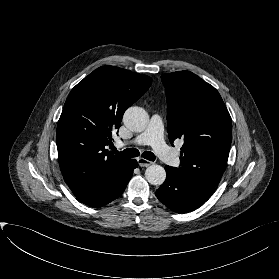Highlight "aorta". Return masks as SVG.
I'll list each match as a JSON object with an SVG mask.
<instances>
[{
  "label": "aorta",
  "instance_id": "obj_1",
  "mask_svg": "<svg viewBox=\"0 0 279 279\" xmlns=\"http://www.w3.org/2000/svg\"><path fill=\"white\" fill-rule=\"evenodd\" d=\"M125 126L134 132L143 131L148 124V114L140 107H130L123 116ZM146 180L152 185H162L166 179V172L160 165H150L145 171Z\"/></svg>",
  "mask_w": 279,
  "mask_h": 279
}]
</instances>
